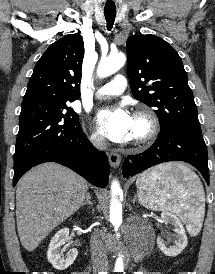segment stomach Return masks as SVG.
Masks as SVG:
<instances>
[{
    "mask_svg": "<svg viewBox=\"0 0 215 274\" xmlns=\"http://www.w3.org/2000/svg\"><path fill=\"white\" fill-rule=\"evenodd\" d=\"M170 165L172 166V167H174L175 165H177L176 163H170Z\"/></svg>",
    "mask_w": 215,
    "mask_h": 274,
    "instance_id": "1",
    "label": "stomach"
}]
</instances>
